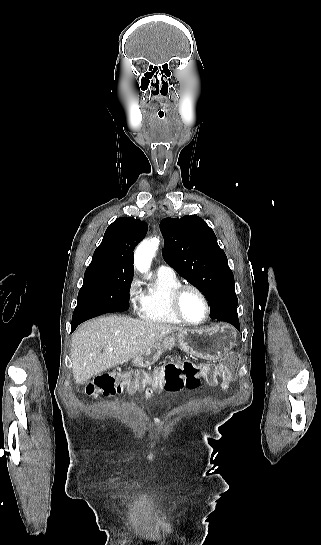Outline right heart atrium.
Instances as JSON below:
<instances>
[{
  "label": "right heart atrium",
  "instance_id": "1",
  "mask_svg": "<svg viewBox=\"0 0 321 545\" xmlns=\"http://www.w3.org/2000/svg\"><path fill=\"white\" fill-rule=\"evenodd\" d=\"M127 299L134 311L140 309L143 293L140 283L136 277H132L127 284Z\"/></svg>",
  "mask_w": 321,
  "mask_h": 545
}]
</instances>
